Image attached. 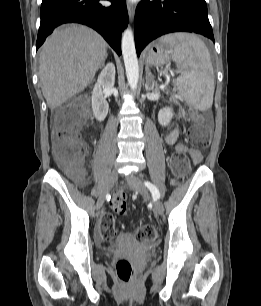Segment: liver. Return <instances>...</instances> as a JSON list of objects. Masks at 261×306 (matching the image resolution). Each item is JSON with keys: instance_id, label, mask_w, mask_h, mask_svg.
Masks as SVG:
<instances>
[{"instance_id": "liver-1", "label": "liver", "mask_w": 261, "mask_h": 306, "mask_svg": "<svg viewBox=\"0 0 261 306\" xmlns=\"http://www.w3.org/2000/svg\"><path fill=\"white\" fill-rule=\"evenodd\" d=\"M107 58V43L89 27L73 24L55 31L43 44L39 79L47 105L54 109L83 91Z\"/></svg>"}]
</instances>
